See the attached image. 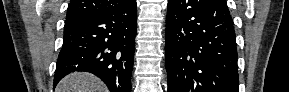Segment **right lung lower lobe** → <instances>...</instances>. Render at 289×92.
<instances>
[{
  "label": "right lung lower lobe",
  "instance_id": "1",
  "mask_svg": "<svg viewBox=\"0 0 289 92\" xmlns=\"http://www.w3.org/2000/svg\"><path fill=\"white\" fill-rule=\"evenodd\" d=\"M136 0L65 24L54 86L67 74L90 72L110 92H131L136 35Z\"/></svg>",
  "mask_w": 289,
  "mask_h": 92
}]
</instances>
